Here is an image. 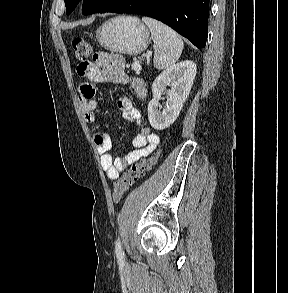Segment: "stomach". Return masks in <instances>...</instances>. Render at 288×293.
Segmentation results:
<instances>
[{"mask_svg":"<svg viewBox=\"0 0 288 293\" xmlns=\"http://www.w3.org/2000/svg\"><path fill=\"white\" fill-rule=\"evenodd\" d=\"M96 38L109 51L135 56L147 48L150 33L137 17L117 16L96 30Z\"/></svg>","mask_w":288,"mask_h":293,"instance_id":"0dacf381","label":"stomach"}]
</instances>
